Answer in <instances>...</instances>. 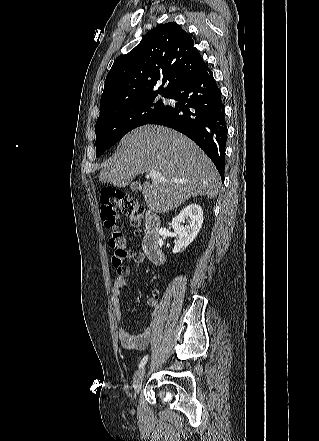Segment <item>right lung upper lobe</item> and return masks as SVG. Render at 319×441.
Instances as JSON below:
<instances>
[{
	"instance_id": "obj_1",
	"label": "right lung upper lobe",
	"mask_w": 319,
	"mask_h": 441,
	"mask_svg": "<svg viewBox=\"0 0 319 441\" xmlns=\"http://www.w3.org/2000/svg\"><path fill=\"white\" fill-rule=\"evenodd\" d=\"M204 64L193 39L180 25L161 24L146 33L128 54L115 60L106 77L101 111L159 93L168 96L183 79ZM161 78L162 85L153 91Z\"/></svg>"
}]
</instances>
